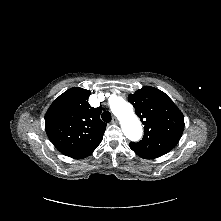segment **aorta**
<instances>
[{"label": "aorta", "mask_w": 221, "mask_h": 221, "mask_svg": "<svg viewBox=\"0 0 221 221\" xmlns=\"http://www.w3.org/2000/svg\"><path fill=\"white\" fill-rule=\"evenodd\" d=\"M109 103L111 111L121 123V128L126 138L131 141H138L143 131L132 105L120 96H113L110 98Z\"/></svg>", "instance_id": "aorta-1"}]
</instances>
